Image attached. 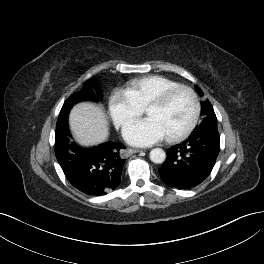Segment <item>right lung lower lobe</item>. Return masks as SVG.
<instances>
[{
	"mask_svg": "<svg viewBox=\"0 0 264 264\" xmlns=\"http://www.w3.org/2000/svg\"><path fill=\"white\" fill-rule=\"evenodd\" d=\"M68 126L55 135V155L68 181L81 192L101 196L121 182L125 146L106 142L84 149L71 141Z\"/></svg>",
	"mask_w": 264,
	"mask_h": 264,
	"instance_id": "obj_1",
	"label": "right lung lower lobe"
}]
</instances>
